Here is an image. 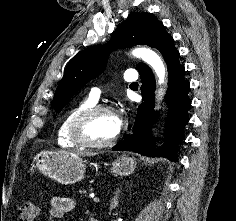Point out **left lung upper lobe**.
Segmentation results:
<instances>
[{"label":"left lung upper lobe","mask_w":236,"mask_h":221,"mask_svg":"<svg viewBox=\"0 0 236 221\" xmlns=\"http://www.w3.org/2000/svg\"><path fill=\"white\" fill-rule=\"evenodd\" d=\"M166 31L162 22L151 13H131L120 24L108 44L95 46L76 54L68 63L54 98L53 107L59 113L85 84L98 76L105 68L109 53L113 49L128 48L134 45L154 47ZM143 63H139V69Z\"/></svg>","instance_id":"1"}]
</instances>
